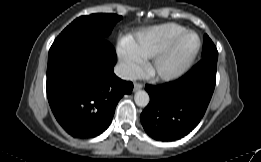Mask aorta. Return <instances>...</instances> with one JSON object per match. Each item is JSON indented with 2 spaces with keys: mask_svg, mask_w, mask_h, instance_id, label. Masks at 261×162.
<instances>
[{
  "mask_svg": "<svg viewBox=\"0 0 261 162\" xmlns=\"http://www.w3.org/2000/svg\"><path fill=\"white\" fill-rule=\"evenodd\" d=\"M134 100L139 107H146L150 101L148 93L143 90H139L135 93Z\"/></svg>",
  "mask_w": 261,
  "mask_h": 162,
  "instance_id": "aorta-1",
  "label": "aorta"
}]
</instances>
